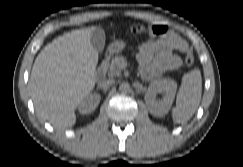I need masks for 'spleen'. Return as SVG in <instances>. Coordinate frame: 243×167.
<instances>
[{
  "label": "spleen",
  "instance_id": "1",
  "mask_svg": "<svg viewBox=\"0 0 243 167\" xmlns=\"http://www.w3.org/2000/svg\"><path fill=\"white\" fill-rule=\"evenodd\" d=\"M202 94V77L199 69L184 74L172 109L174 123L187 122L198 109Z\"/></svg>",
  "mask_w": 243,
  "mask_h": 167
}]
</instances>
